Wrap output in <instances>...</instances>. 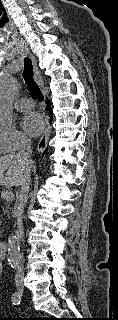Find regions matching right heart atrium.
Instances as JSON below:
<instances>
[{
  "mask_svg": "<svg viewBox=\"0 0 118 320\" xmlns=\"http://www.w3.org/2000/svg\"><path fill=\"white\" fill-rule=\"evenodd\" d=\"M28 143V138L15 127L0 126V152H13Z\"/></svg>",
  "mask_w": 118,
  "mask_h": 320,
  "instance_id": "obj_1",
  "label": "right heart atrium"
}]
</instances>
